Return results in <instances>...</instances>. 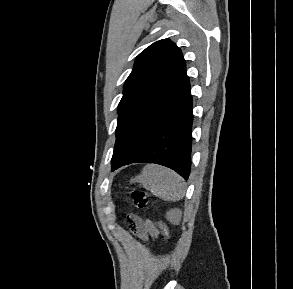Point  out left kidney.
I'll return each mask as SVG.
<instances>
[{
	"instance_id": "left-kidney-1",
	"label": "left kidney",
	"mask_w": 293,
	"mask_h": 289,
	"mask_svg": "<svg viewBox=\"0 0 293 289\" xmlns=\"http://www.w3.org/2000/svg\"><path fill=\"white\" fill-rule=\"evenodd\" d=\"M181 217V211L179 209H172L167 212L166 218L171 222H177Z\"/></svg>"
}]
</instances>
